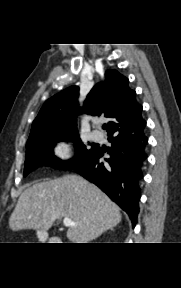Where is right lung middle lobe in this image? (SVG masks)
Masks as SVG:
<instances>
[{
    "label": "right lung middle lobe",
    "mask_w": 181,
    "mask_h": 288,
    "mask_svg": "<svg viewBox=\"0 0 181 288\" xmlns=\"http://www.w3.org/2000/svg\"><path fill=\"white\" fill-rule=\"evenodd\" d=\"M77 141L76 156L68 161L57 159L53 155V148L58 141ZM87 149L86 145L79 142L77 133L51 132L36 136L27 141L24 176L40 166H51L57 169H73L76 165L86 160L95 150Z\"/></svg>",
    "instance_id": "1"
}]
</instances>
